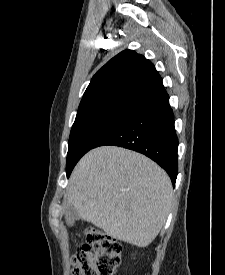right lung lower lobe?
<instances>
[{"label":"right lung lower lobe","instance_id":"obj_1","mask_svg":"<svg viewBox=\"0 0 225 275\" xmlns=\"http://www.w3.org/2000/svg\"><path fill=\"white\" fill-rule=\"evenodd\" d=\"M103 145L124 147L146 155L165 169L175 185L178 139L169 96L129 113L95 147Z\"/></svg>","mask_w":225,"mask_h":275}]
</instances>
